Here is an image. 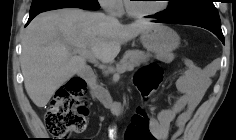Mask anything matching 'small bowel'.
Returning a JSON list of instances; mask_svg holds the SVG:
<instances>
[{
    "label": "small bowel",
    "instance_id": "1",
    "mask_svg": "<svg viewBox=\"0 0 236 140\" xmlns=\"http://www.w3.org/2000/svg\"><path fill=\"white\" fill-rule=\"evenodd\" d=\"M182 61L184 68L176 82L180 97L170 108L162 110L150 119V130L154 140H167L173 122L177 131L171 136V140H177L211 84L213 66L201 68L188 58H183Z\"/></svg>",
    "mask_w": 236,
    "mask_h": 140
}]
</instances>
